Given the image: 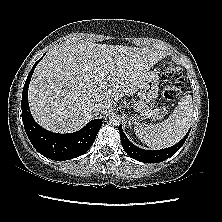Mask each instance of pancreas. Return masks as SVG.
<instances>
[{"label": "pancreas", "instance_id": "cf45deb5", "mask_svg": "<svg viewBox=\"0 0 222 222\" xmlns=\"http://www.w3.org/2000/svg\"><path fill=\"white\" fill-rule=\"evenodd\" d=\"M135 107H140V105L138 103H135ZM142 113L145 114V116H158V112H156L155 110H152V109H147V108H144L142 107Z\"/></svg>", "mask_w": 222, "mask_h": 222}]
</instances>
